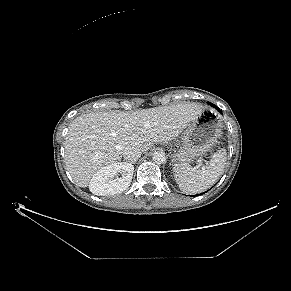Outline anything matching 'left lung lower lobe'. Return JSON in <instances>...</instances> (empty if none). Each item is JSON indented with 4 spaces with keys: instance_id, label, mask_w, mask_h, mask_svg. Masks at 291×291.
I'll list each match as a JSON object with an SVG mask.
<instances>
[{
    "instance_id": "left-lung-lower-lobe-1",
    "label": "left lung lower lobe",
    "mask_w": 291,
    "mask_h": 291,
    "mask_svg": "<svg viewBox=\"0 0 291 291\" xmlns=\"http://www.w3.org/2000/svg\"><path fill=\"white\" fill-rule=\"evenodd\" d=\"M212 106L215 107L218 111H220V109L217 106H215V105H212Z\"/></svg>"
}]
</instances>
